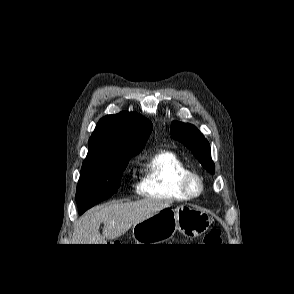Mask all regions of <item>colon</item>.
<instances>
[{
    "mask_svg": "<svg viewBox=\"0 0 294 294\" xmlns=\"http://www.w3.org/2000/svg\"><path fill=\"white\" fill-rule=\"evenodd\" d=\"M221 240L220 232L218 229H212L207 232L202 239L203 244H217Z\"/></svg>",
    "mask_w": 294,
    "mask_h": 294,
    "instance_id": "5ec220e1",
    "label": "colon"
}]
</instances>
